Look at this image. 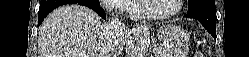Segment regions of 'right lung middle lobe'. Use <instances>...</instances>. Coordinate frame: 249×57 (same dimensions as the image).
Returning <instances> with one entry per match:
<instances>
[{
  "label": "right lung middle lobe",
  "mask_w": 249,
  "mask_h": 57,
  "mask_svg": "<svg viewBox=\"0 0 249 57\" xmlns=\"http://www.w3.org/2000/svg\"><path fill=\"white\" fill-rule=\"evenodd\" d=\"M85 2L96 5V6H100L99 0H85Z\"/></svg>",
  "instance_id": "obj_1"
}]
</instances>
